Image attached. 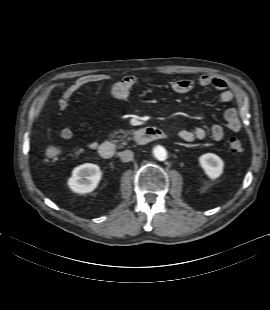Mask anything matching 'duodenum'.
Listing matches in <instances>:
<instances>
[{
    "label": "duodenum",
    "instance_id": "410a0bca",
    "mask_svg": "<svg viewBox=\"0 0 270 310\" xmlns=\"http://www.w3.org/2000/svg\"><path fill=\"white\" fill-rule=\"evenodd\" d=\"M166 137V132L157 127H145L136 130L133 133V140L138 145H144L151 141L163 139ZM99 155L104 159L112 158L117 150L116 143L111 140L102 142L99 146Z\"/></svg>",
    "mask_w": 270,
    "mask_h": 310
}]
</instances>
